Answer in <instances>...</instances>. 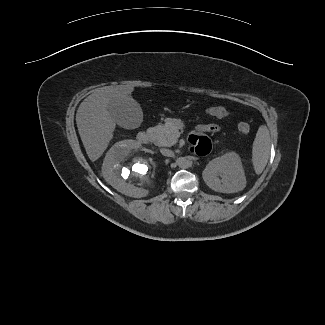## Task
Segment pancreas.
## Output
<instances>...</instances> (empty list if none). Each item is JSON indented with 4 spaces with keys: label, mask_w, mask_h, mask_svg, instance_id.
I'll list each match as a JSON object with an SVG mask.
<instances>
[{
    "label": "pancreas",
    "mask_w": 325,
    "mask_h": 325,
    "mask_svg": "<svg viewBox=\"0 0 325 325\" xmlns=\"http://www.w3.org/2000/svg\"><path fill=\"white\" fill-rule=\"evenodd\" d=\"M184 128V124L179 119H166L164 124H159L153 128L156 133L155 145L170 147L177 142V132Z\"/></svg>",
    "instance_id": "cf45deb5"
}]
</instances>
